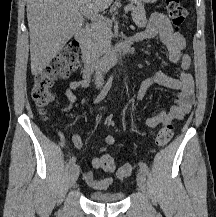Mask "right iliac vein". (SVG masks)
<instances>
[{"instance_id":"obj_1","label":"right iliac vein","mask_w":216,"mask_h":217,"mask_svg":"<svg viewBox=\"0 0 216 217\" xmlns=\"http://www.w3.org/2000/svg\"><path fill=\"white\" fill-rule=\"evenodd\" d=\"M79 176V166L78 165H73L70 169V174H69V183L70 186H73Z\"/></svg>"}]
</instances>
